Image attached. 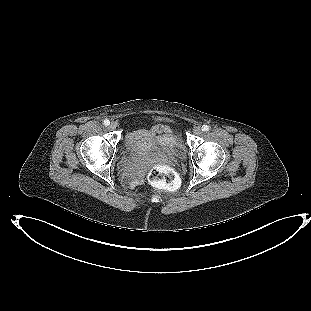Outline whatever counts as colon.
<instances>
[{
	"label": "colon",
	"instance_id": "obj_1",
	"mask_svg": "<svg viewBox=\"0 0 311 311\" xmlns=\"http://www.w3.org/2000/svg\"><path fill=\"white\" fill-rule=\"evenodd\" d=\"M149 182L156 188L173 191L179 183L176 171L165 164H157L148 173Z\"/></svg>",
	"mask_w": 311,
	"mask_h": 311
}]
</instances>
